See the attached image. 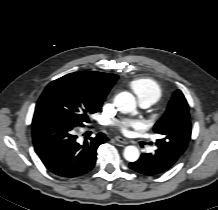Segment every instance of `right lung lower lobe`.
I'll return each mask as SVG.
<instances>
[{
    "label": "right lung lower lobe",
    "instance_id": "98d812e1",
    "mask_svg": "<svg viewBox=\"0 0 218 210\" xmlns=\"http://www.w3.org/2000/svg\"><path fill=\"white\" fill-rule=\"evenodd\" d=\"M79 126L55 115H34L32 120L33 145L45 167L66 178L81 176L90 171L96 162L97 148L107 140L105 134L76 141L74 131Z\"/></svg>",
    "mask_w": 218,
    "mask_h": 210
}]
</instances>
